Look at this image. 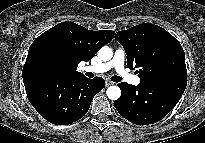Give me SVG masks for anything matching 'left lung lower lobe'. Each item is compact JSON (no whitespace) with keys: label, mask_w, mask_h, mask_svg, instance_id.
I'll use <instances>...</instances> for the list:
<instances>
[{"label":"left lung lower lobe","mask_w":205,"mask_h":143,"mask_svg":"<svg viewBox=\"0 0 205 143\" xmlns=\"http://www.w3.org/2000/svg\"><path fill=\"white\" fill-rule=\"evenodd\" d=\"M187 85V77L173 76L140 81L138 86L122 82L120 99L114 102L118 113L137 125L160 121L178 103Z\"/></svg>","instance_id":"0a47b994"}]
</instances>
